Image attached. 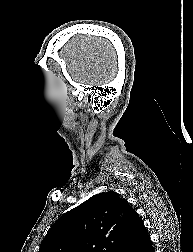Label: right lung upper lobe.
I'll list each match as a JSON object with an SVG mask.
<instances>
[{
  "label": "right lung upper lobe",
  "instance_id": "cb5924a9",
  "mask_svg": "<svg viewBox=\"0 0 193 252\" xmlns=\"http://www.w3.org/2000/svg\"><path fill=\"white\" fill-rule=\"evenodd\" d=\"M143 230L142 220L124 198L102 192L57 220L39 252H128Z\"/></svg>",
  "mask_w": 193,
  "mask_h": 252
}]
</instances>
